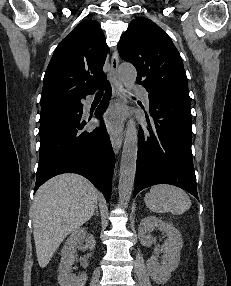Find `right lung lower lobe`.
Wrapping results in <instances>:
<instances>
[{"mask_svg": "<svg viewBox=\"0 0 231 286\" xmlns=\"http://www.w3.org/2000/svg\"><path fill=\"white\" fill-rule=\"evenodd\" d=\"M103 87L107 90L97 108V115L106 110L111 97L109 83ZM94 92L71 102L74 113L40 124V159L34 192L53 176L77 173L89 179L109 201L115 165L109 135L103 123L100 128L85 131L86 121L81 116V100Z\"/></svg>", "mask_w": 231, "mask_h": 286, "instance_id": "obj_1", "label": "right lung lower lobe"}]
</instances>
